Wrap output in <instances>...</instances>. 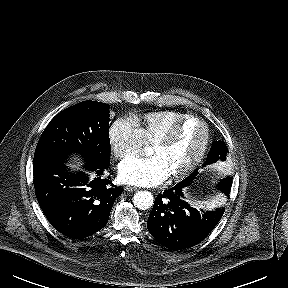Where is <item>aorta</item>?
Returning a JSON list of instances; mask_svg holds the SVG:
<instances>
[{
	"instance_id": "1",
	"label": "aorta",
	"mask_w": 288,
	"mask_h": 288,
	"mask_svg": "<svg viewBox=\"0 0 288 288\" xmlns=\"http://www.w3.org/2000/svg\"><path fill=\"white\" fill-rule=\"evenodd\" d=\"M134 205L140 210H146L153 206L154 197L148 191H138L133 197Z\"/></svg>"
}]
</instances>
